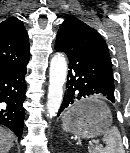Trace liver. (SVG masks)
<instances>
[{
    "label": "liver",
    "mask_w": 130,
    "mask_h": 153,
    "mask_svg": "<svg viewBox=\"0 0 130 153\" xmlns=\"http://www.w3.org/2000/svg\"><path fill=\"white\" fill-rule=\"evenodd\" d=\"M14 135L9 130L0 127V153H7L13 146Z\"/></svg>",
    "instance_id": "1"
}]
</instances>
